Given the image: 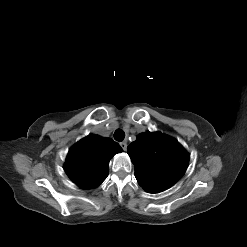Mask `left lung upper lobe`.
<instances>
[{
    "instance_id": "1",
    "label": "left lung upper lobe",
    "mask_w": 247,
    "mask_h": 247,
    "mask_svg": "<svg viewBox=\"0 0 247 247\" xmlns=\"http://www.w3.org/2000/svg\"><path fill=\"white\" fill-rule=\"evenodd\" d=\"M127 153L138 183L149 193L162 192L179 181L190 158L176 139L160 132L139 134Z\"/></svg>"
}]
</instances>
